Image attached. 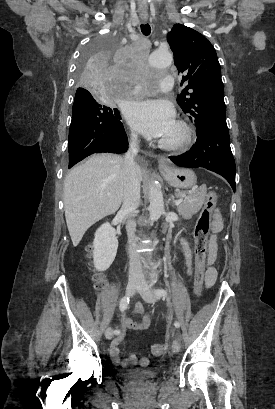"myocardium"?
Here are the masks:
<instances>
[{
    "label": "myocardium",
    "instance_id": "obj_1",
    "mask_svg": "<svg viewBox=\"0 0 275 409\" xmlns=\"http://www.w3.org/2000/svg\"><path fill=\"white\" fill-rule=\"evenodd\" d=\"M176 129H177V136L174 139L171 140H165V139H160L157 141V144L160 148L164 150H178L185 145L188 144V142L191 139V129L188 126L187 123L184 121H176L174 123Z\"/></svg>",
    "mask_w": 275,
    "mask_h": 409
}]
</instances>
